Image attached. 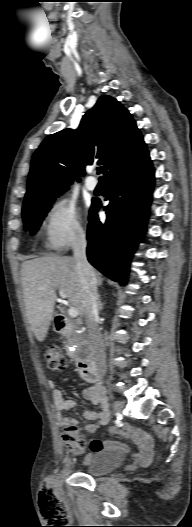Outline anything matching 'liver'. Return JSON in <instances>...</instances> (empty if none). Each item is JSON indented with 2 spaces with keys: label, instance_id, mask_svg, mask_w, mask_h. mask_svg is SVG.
<instances>
[{
  "label": "liver",
  "instance_id": "6515ba94",
  "mask_svg": "<svg viewBox=\"0 0 192 527\" xmlns=\"http://www.w3.org/2000/svg\"><path fill=\"white\" fill-rule=\"evenodd\" d=\"M96 286L102 284L95 273ZM21 284L26 314L31 329L42 342L48 333L57 299L56 290L66 294L69 304L85 316L83 294L73 257L48 255L27 260L21 266Z\"/></svg>",
  "mask_w": 192,
  "mask_h": 527
}]
</instances>
